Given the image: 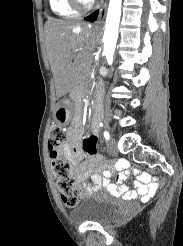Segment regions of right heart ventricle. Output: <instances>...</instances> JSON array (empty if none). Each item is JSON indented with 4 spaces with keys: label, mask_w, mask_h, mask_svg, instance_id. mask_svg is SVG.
<instances>
[{
    "label": "right heart ventricle",
    "mask_w": 183,
    "mask_h": 246,
    "mask_svg": "<svg viewBox=\"0 0 183 246\" xmlns=\"http://www.w3.org/2000/svg\"><path fill=\"white\" fill-rule=\"evenodd\" d=\"M49 4L52 12L57 16L68 18L78 14L69 0H49Z\"/></svg>",
    "instance_id": "right-heart-ventricle-1"
}]
</instances>
